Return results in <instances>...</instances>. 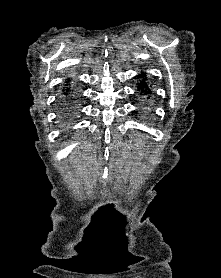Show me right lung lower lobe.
Wrapping results in <instances>:
<instances>
[{
    "mask_svg": "<svg viewBox=\"0 0 221 278\" xmlns=\"http://www.w3.org/2000/svg\"><path fill=\"white\" fill-rule=\"evenodd\" d=\"M75 98L73 96V89L68 87V83L65 85L63 89V105L62 107L65 110V113H71L73 102Z\"/></svg>",
    "mask_w": 221,
    "mask_h": 278,
    "instance_id": "1",
    "label": "right lung lower lobe"
}]
</instances>
